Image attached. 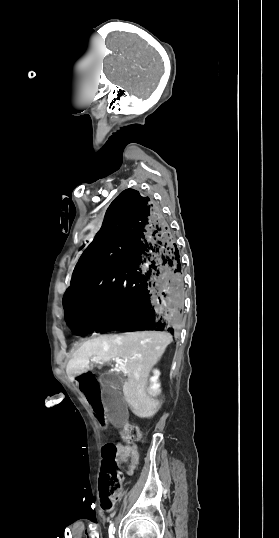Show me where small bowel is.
Here are the masks:
<instances>
[{
  "instance_id": "c3829d8e",
  "label": "small bowel",
  "mask_w": 279,
  "mask_h": 538,
  "mask_svg": "<svg viewBox=\"0 0 279 538\" xmlns=\"http://www.w3.org/2000/svg\"><path fill=\"white\" fill-rule=\"evenodd\" d=\"M118 457H117V463L118 464H128V469L130 472L133 471L135 468L137 461H138V453L135 446L130 445H121L117 444L115 445Z\"/></svg>"
}]
</instances>
